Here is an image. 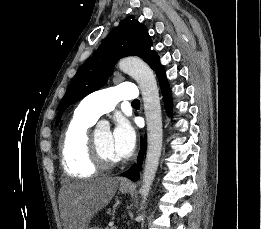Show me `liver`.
<instances>
[{
	"instance_id": "liver-1",
	"label": "liver",
	"mask_w": 261,
	"mask_h": 229,
	"mask_svg": "<svg viewBox=\"0 0 261 229\" xmlns=\"http://www.w3.org/2000/svg\"><path fill=\"white\" fill-rule=\"evenodd\" d=\"M120 177H100L65 187L64 219L67 229H87L92 217L113 199Z\"/></svg>"
}]
</instances>
